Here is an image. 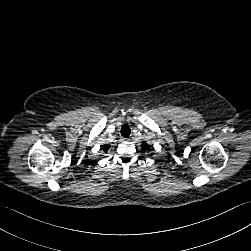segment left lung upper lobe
Listing matches in <instances>:
<instances>
[{"mask_svg":"<svg viewBox=\"0 0 251 251\" xmlns=\"http://www.w3.org/2000/svg\"><path fill=\"white\" fill-rule=\"evenodd\" d=\"M142 147H143V148L149 149V147L147 146V143H146V142H143V143H142Z\"/></svg>","mask_w":251,"mask_h":251,"instance_id":"obj_1","label":"left lung upper lobe"}]
</instances>
